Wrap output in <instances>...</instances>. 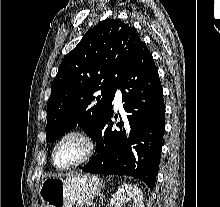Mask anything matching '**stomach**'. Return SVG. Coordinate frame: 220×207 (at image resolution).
I'll return each mask as SVG.
<instances>
[{
	"label": "stomach",
	"mask_w": 220,
	"mask_h": 207,
	"mask_svg": "<svg viewBox=\"0 0 220 207\" xmlns=\"http://www.w3.org/2000/svg\"><path fill=\"white\" fill-rule=\"evenodd\" d=\"M100 190L101 181L90 174L50 177L40 186L41 207H81L98 196Z\"/></svg>",
	"instance_id": "obj_1"
}]
</instances>
